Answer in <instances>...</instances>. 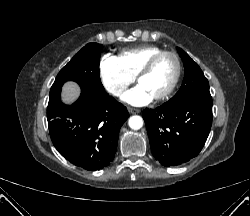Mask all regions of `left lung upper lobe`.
Masks as SVG:
<instances>
[{"mask_svg":"<svg viewBox=\"0 0 250 216\" xmlns=\"http://www.w3.org/2000/svg\"><path fill=\"white\" fill-rule=\"evenodd\" d=\"M177 51L184 63L185 75L179 91L166 103L175 104L195 98L212 101L208 80L198 64L181 48L177 47Z\"/></svg>","mask_w":250,"mask_h":216,"instance_id":"5c2ea615","label":"left lung upper lobe"}]
</instances>
